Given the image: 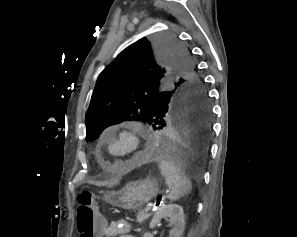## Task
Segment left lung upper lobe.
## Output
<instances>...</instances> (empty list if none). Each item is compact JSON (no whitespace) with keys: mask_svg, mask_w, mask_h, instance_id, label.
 Returning <instances> with one entry per match:
<instances>
[{"mask_svg":"<svg viewBox=\"0 0 297 237\" xmlns=\"http://www.w3.org/2000/svg\"><path fill=\"white\" fill-rule=\"evenodd\" d=\"M207 101L188 50L173 36L143 37L99 75L86 113V141L110 125L139 120L157 130L175 103Z\"/></svg>","mask_w":297,"mask_h":237,"instance_id":"5c2ea615","label":"left lung upper lobe"}]
</instances>
